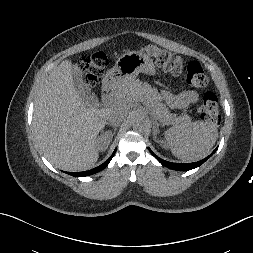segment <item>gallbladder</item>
Returning a JSON list of instances; mask_svg holds the SVG:
<instances>
[{
    "label": "gallbladder",
    "mask_w": 253,
    "mask_h": 253,
    "mask_svg": "<svg viewBox=\"0 0 253 253\" xmlns=\"http://www.w3.org/2000/svg\"><path fill=\"white\" fill-rule=\"evenodd\" d=\"M72 78L74 82V87L80 97L85 101L86 105L94 106L97 104V97L95 94L91 93L88 85L83 81L82 71L77 64L72 67Z\"/></svg>",
    "instance_id": "gallbladder-1"
}]
</instances>
